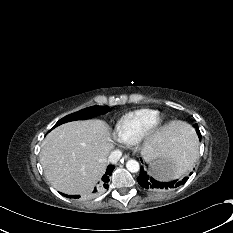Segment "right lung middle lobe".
Returning <instances> with one entry per match:
<instances>
[{
	"mask_svg": "<svg viewBox=\"0 0 233 233\" xmlns=\"http://www.w3.org/2000/svg\"><path fill=\"white\" fill-rule=\"evenodd\" d=\"M108 110H109L108 106H93L90 108H86V109L81 110L77 113H74V114H71V115H68V116L62 118L54 125L53 128H55L63 123H66V122L75 121V120H85V119L95 117L97 115L105 114V113H107Z\"/></svg>",
	"mask_w": 233,
	"mask_h": 233,
	"instance_id": "obj_1",
	"label": "right lung middle lobe"
}]
</instances>
